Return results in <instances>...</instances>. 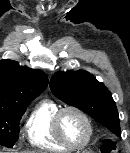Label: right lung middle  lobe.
Masks as SVG:
<instances>
[{
	"instance_id": "dd1d6c3e",
	"label": "right lung middle lobe",
	"mask_w": 130,
	"mask_h": 153,
	"mask_svg": "<svg viewBox=\"0 0 130 153\" xmlns=\"http://www.w3.org/2000/svg\"><path fill=\"white\" fill-rule=\"evenodd\" d=\"M29 103L0 106V145L12 148L19 136V122Z\"/></svg>"
}]
</instances>
